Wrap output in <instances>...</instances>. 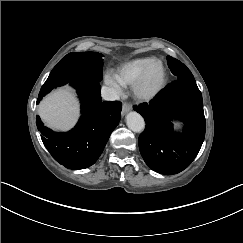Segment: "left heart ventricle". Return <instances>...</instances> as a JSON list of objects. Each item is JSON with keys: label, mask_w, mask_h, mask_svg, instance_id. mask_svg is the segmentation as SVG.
Returning <instances> with one entry per match:
<instances>
[{"label": "left heart ventricle", "mask_w": 243, "mask_h": 243, "mask_svg": "<svg viewBox=\"0 0 243 243\" xmlns=\"http://www.w3.org/2000/svg\"><path fill=\"white\" fill-rule=\"evenodd\" d=\"M162 79V69L160 68V66L158 64H155L153 66V72L151 75V78L147 84L148 88H154L155 86H157Z\"/></svg>", "instance_id": "left-heart-ventricle-1"}]
</instances>
